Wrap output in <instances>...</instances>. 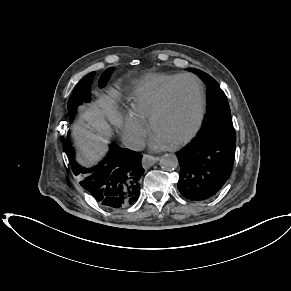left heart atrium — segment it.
<instances>
[{
    "label": "left heart atrium",
    "mask_w": 291,
    "mask_h": 291,
    "mask_svg": "<svg viewBox=\"0 0 291 291\" xmlns=\"http://www.w3.org/2000/svg\"><path fill=\"white\" fill-rule=\"evenodd\" d=\"M150 144L153 149H164L170 146V143L168 141L156 134L152 136Z\"/></svg>",
    "instance_id": "39dd6f15"
}]
</instances>
